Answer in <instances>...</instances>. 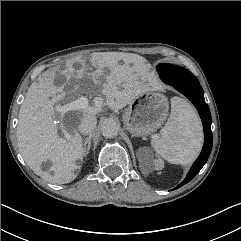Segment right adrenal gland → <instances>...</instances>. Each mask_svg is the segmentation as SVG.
<instances>
[{"label": "right adrenal gland", "mask_w": 241, "mask_h": 241, "mask_svg": "<svg viewBox=\"0 0 241 241\" xmlns=\"http://www.w3.org/2000/svg\"><path fill=\"white\" fill-rule=\"evenodd\" d=\"M83 147L85 150V155H87L90 151V147H91V135H89L88 137H86L83 140Z\"/></svg>", "instance_id": "obj_1"}]
</instances>
